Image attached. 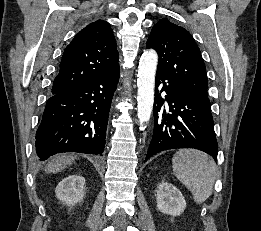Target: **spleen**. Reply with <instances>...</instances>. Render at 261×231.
I'll list each match as a JSON object with an SVG mask.
<instances>
[{"instance_id":"obj_1","label":"spleen","mask_w":261,"mask_h":231,"mask_svg":"<svg viewBox=\"0 0 261 231\" xmlns=\"http://www.w3.org/2000/svg\"><path fill=\"white\" fill-rule=\"evenodd\" d=\"M172 165L176 177L191 191L195 202L200 204L209 198L216 179L214 160L197 150H179Z\"/></svg>"}]
</instances>
